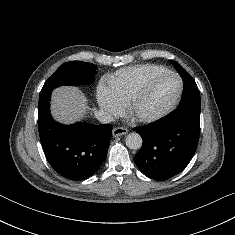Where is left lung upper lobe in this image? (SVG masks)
<instances>
[{"mask_svg": "<svg viewBox=\"0 0 235 235\" xmlns=\"http://www.w3.org/2000/svg\"><path fill=\"white\" fill-rule=\"evenodd\" d=\"M184 83L183 97L179 107L195 105L201 107L200 92L192 76L178 63L171 61Z\"/></svg>", "mask_w": 235, "mask_h": 235, "instance_id": "obj_1", "label": "left lung upper lobe"}]
</instances>
